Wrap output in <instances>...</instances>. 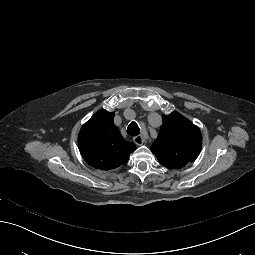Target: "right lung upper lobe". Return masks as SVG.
<instances>
[{
    "instance_id": "right-lung-upper-lobe-1",
    "label": "right lung upper lobe",
    "mask_w": 255,
    "mask_h": 255,
    "mask_svg": "<svg viewBox=\"0 0 255 255\" xmlns=\"http://www.w3.org/2000/svg\"><path fill=\"white\" fill-rule=\"evenodd\" d=\"M78 146L88 165L110 170L125 164L136 147L125 141L114 124V114L100 110L86 122L78 136Z\"/></svg>"
}]
</instances>
